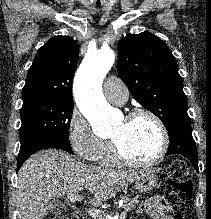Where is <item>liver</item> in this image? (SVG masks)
Returning <instances> with one entry per match:
<instances>
[{
    "label": "liver",
    "mask_w": 211,
    "mask_h": 219,
    "mask_svg": "<svg viewBox=\"0 0 211 219\" xmlns=\"http://www.w3.org/2000/svg\"><path fill=\"white\" fill-rule=\"evenodd\" d=\"M141 172L84 165L65 152L42 150L28 158L18 173L17 203L22 219H43L49 213L50 199L84 190L94 194L90 203L99 206Z\"/></svg>",
    "instance_id": "1"
}]
</instances>
